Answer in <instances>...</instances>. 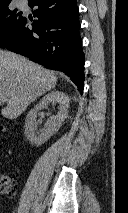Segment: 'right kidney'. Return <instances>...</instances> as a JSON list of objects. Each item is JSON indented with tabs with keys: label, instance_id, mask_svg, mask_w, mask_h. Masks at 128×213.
Instances as JSON below:
<instances>
[{
	"label": "right kidney",
	"instance_id": "right-kidney-1",
	"mask_svg": "<svg viewBox=\"0 0 128 213\" xmlns=\"http://www.w3.org/2000/svg\"><path fill=\"white\" fill-rule=\"evenodd\" d=\"M49 103H58L59 111L57 115L50 116L45 123V127L41 131H38L37 112L46 109ZM69 103V97L61 91L54 90L45 95L26 116L25 135L27 139L36 146H41L48 141L59 130L67 118Z\"/></svg>",
	"mask_w": 128,
	"mask_h": 213
}]
</instances>
